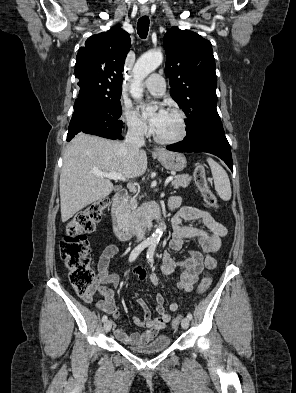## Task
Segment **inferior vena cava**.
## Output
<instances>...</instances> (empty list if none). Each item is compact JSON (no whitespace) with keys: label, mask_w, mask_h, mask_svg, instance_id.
Returning a JSON list of instances; mask_svg holds the SVG:
<instances>
[{"label":"inferior vena cava","mask_w":296,"mask_h":393,"mask_svg":"<svg viewBox=\"0 0 296 393\" xmlns=\"http://www.w3.org/2000/svg\"><path fill=\"white\" fill-rule=\"evenodd\" d=\"M144 132L145 126L142 123H133L129 125L125 141L122 143L121 147L122 152L129 160L133 161L140 148L145 145ZM144 235V223H141L137 234V241L143 240Z\"/></svg>","instance_id":"602c4592"}]
</instances>
